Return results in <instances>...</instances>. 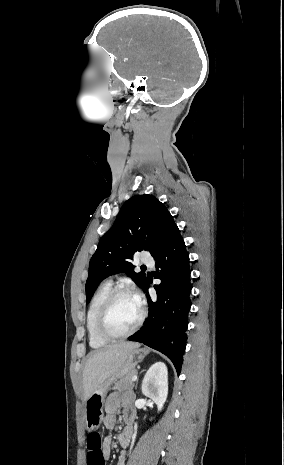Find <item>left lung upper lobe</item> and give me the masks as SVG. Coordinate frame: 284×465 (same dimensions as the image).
<instances>
[{"instance_id":"1","label":"left lung upper lobe","mask_w":284,"mask_h":465,"mask_svg":"<svg viewBox=\"0 0 284 465\" xmlns=\"http://www.w3.org/2000/svg\"><path fill=\"white\" fill-rule=\"evenodd\" d=\"M178 229L166 206L152 195H136L122 206L113 226L101 238L89 263L86 303L106 277L126 272L138 286L146 280L144 273L133 271L130 262L137 251L161 253Z\"/></svg>"}]
</instances>
